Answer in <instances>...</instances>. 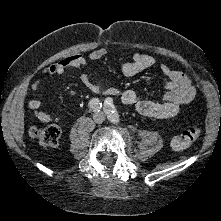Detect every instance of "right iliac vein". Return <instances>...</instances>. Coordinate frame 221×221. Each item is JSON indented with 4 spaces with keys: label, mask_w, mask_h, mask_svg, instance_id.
I'll return each instance as SVG.
<instances>
[{
    "label": "right iliac vein",
    "mask_w": 221,
    "mask_h": 221,
    "mask_svg": "<svg viewBox=\"0 0 221 221\" xmlns=\"http://www.w3.org/2000/svg\"><path fill=\"white\" fill-rule=\"evenodd\" d=\"M102 118H103V115L97 114V115L94 116V121L96 123H100L102 121Z\"/></svg>",
    "instance_id": "right-iliac-vein-1"
}]
</instances>
